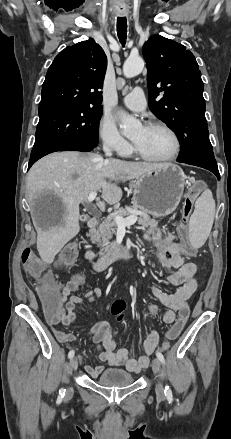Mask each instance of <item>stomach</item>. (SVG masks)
<instances>
[{
	"label": "stomach",
	"mask_w": 231,
	"mask_h": 439,
	"mask_svg": "<svg viewBox=\"0 0 231 439\" xmlns=\"http://www.w3.org/2000/svg\"><path fill=\"white\" fill-rule=\"evenodd\" d=\"M186 175L177 165L150 171L134 181L133 204L155 217H165L179 205L186 185Z\"/></svg>",
	"instance_id": "0dacf381"
}]
</instances>
